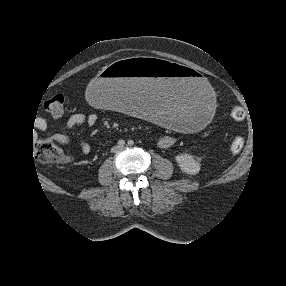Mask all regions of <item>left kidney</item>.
<instances>
[{
	"mask_svg": "<svg viewBox=\"0 0 286 286\" xmlns=\"http://www.w3.org/2000/svg\"><path fill=\"white\" fill-rule=\"evenodd\" d=\"M175 160L183 173L195 175L200 171V164L192 155L178 154L175 156Z\"/></svg>",
	"mask_w": 286,
	"mask_h": 286,
	"instance_id": "obj_1",
	"label": "left kidney"
}]
</instances>
